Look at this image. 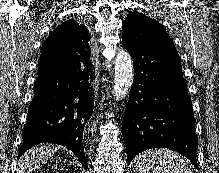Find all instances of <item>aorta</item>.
<instances>
[{"label": "aorta", "mask_w": 219, "mask_h": 173, "mask_svg": "<svg viewBox=\"0 0 219 173\" xmlns=\"http://www.w3.org/2000/svg\"><path fill=\"white\" fill-rule=\"evenodd\" d=\"M115 78L113 94L116 100L123 99L133 84V63L130 54L120 50L114 60Z\"/></svg>", "instance_id": "762f6f07"}]
</instances>
